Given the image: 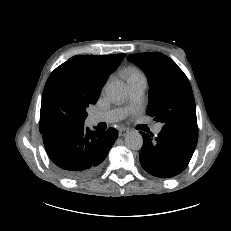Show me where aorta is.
<instances>
[{"label": "aorta", "mask_w": 231, "mask_h": 231, "mask_svg": "<svg viewBox=\"0 0 231 231\" xmlns=\"http://www.w3.org/2000/svg\"><path fill=\"white\" fill-rule=\"evenodd\" d=\"M108 97L114 102H121L127 95V87L121 81L110 82L106 86ZM125 145L130 150H140L143 145V138L138 131H130L125 136Z\"/></svg>", "instance_id": "762f6f07"}]
</instances>
